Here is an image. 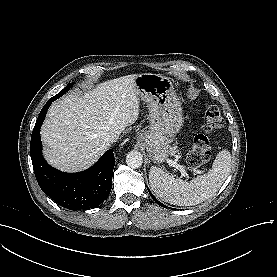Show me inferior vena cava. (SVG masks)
I'll use <instances>...</instances> for the list:
<instances>
[{"instance_id":"602c4592","label":"inferior vena cava","mask_w":277,"mask_h":277,"mask_svg":"<svg viewBox=\"0 0 277 277\" xmlns=\"http://www.w3.org/2000/svg\"><path fill=\"white\" fill-rule=\"evenodd\" d=\"M118 137L119 136L117 134L112 133L106 137L105 141L106 143L111 144L113 142H116Z\"/></svg>"}]
</instances>
